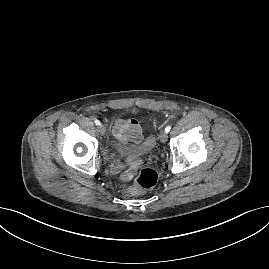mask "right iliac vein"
Masks as SVG:
<instances>
[{"instance_id": "1", "label": "right iliac vein", "mask_w": 269, "mask_h": 269, "mask_svg": "<svg viewBox=\"0 0 269 269\" xmlns=\"http://www.w3.org/2000/svg\"><path fill=\"white\" fill-rule=\"evenodd\" d=\"M98 130H99V132H100L101 134H103V135H104L105 132H106V128H105V126L102 125V124L99 125Z\"/></svg>"}]
</instances>
